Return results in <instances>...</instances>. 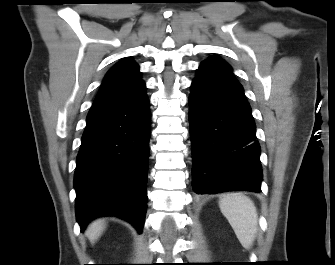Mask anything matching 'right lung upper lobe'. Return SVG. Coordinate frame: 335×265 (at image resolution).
Here are the masks:
<instances>
[{"instance_id":"1","label":"right lung upper lobe","mask_w":335,"mask_h":265,"mask_svg":"<svg viewBox=\"0 0 335 265\" xmlns=\"http://www.w3.org/2000/svg\"><path fill=\"white\" fill-rule=\"evenodd\" d=\"M145 89L139 66L125 57L106 74L93 106L127 101L140 96Z\"/></svg>"}]
</instances>
